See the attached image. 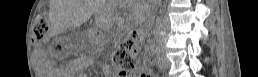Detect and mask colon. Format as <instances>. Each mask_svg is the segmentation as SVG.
Instances as JSON below:
<instances>
[{"label":"colon","mask_w":258,"mask_h":77,"mask_svg":"<svg viewBox=\"0 0 258 77\" xmlns=\"http://www.w3.org/2000/svg\"><path fill=\"white\" fill-rule=\"evenodd\" d=\"M49 22L45 14H39L33 29V39L37 43H43L48 39ZM142 31L134 30L114 52L112 65L117 71H130L135 65V52L142 40Z\"/></svg>","instance_id":"1"}]
</instances>
